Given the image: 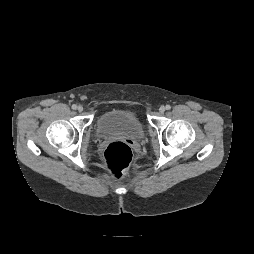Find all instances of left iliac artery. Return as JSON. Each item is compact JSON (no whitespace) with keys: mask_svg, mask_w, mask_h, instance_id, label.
<instances>
[{"mask_svg":"<svg viewBox=\"0 0 254 254\" xmlns=\"http://www.w3.org/2000/svg\"><path fill=\"white\" fill-rule=\"evenodd\" d=\"M166 109H167V110H170V109H171V106H170V105H166Z\"/></svg>","mask_w":254,"mask_h":254,"instance_id":"1","label":"left iliac artery"}]
</instances>
